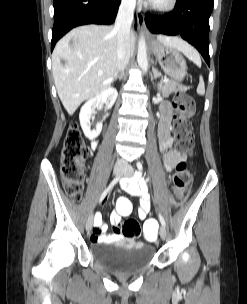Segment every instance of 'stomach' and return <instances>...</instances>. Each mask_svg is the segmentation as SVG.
<instances>
[{"label":"stomach","mask_w":247,"mask_h":304,"mask_svg":"<svg viewBox=\"0 0 247 304\" xmlns=\"http://www.w3.org/2000/svg\"><path fill=\"white\" fill-rule=\"evenodd\" d=\"M151 48L164 72L172 79L182 81L187 74V65L181 53L177 49L164 46L158 41H153Z\"/></svg>","instance_id":"1"}]
</instances>
